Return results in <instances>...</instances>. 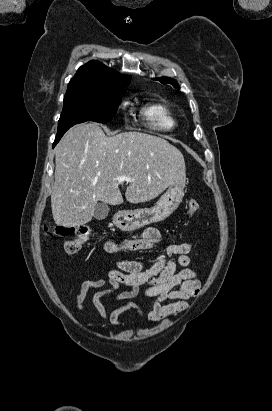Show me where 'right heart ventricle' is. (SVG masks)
Listing matches in <instances>:
<instances>
[{"instance_id":"obj_1","label":"right heart ventricle","mask_w":272,"mask_h":411,"mask_svg":"<svg viewBox=\"0 0 272 411\" xmlns=\"http://www.w3.org/2000/svg\"><path fill=\"white\" fill-rule=\"evenodd\" d=\"M141 114L155 129L170 130L176 126L171 111L163 104L148 103L141 109Z\"/></svg>"}]
</instances>
